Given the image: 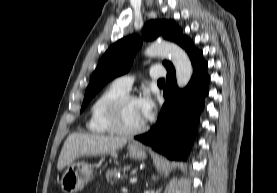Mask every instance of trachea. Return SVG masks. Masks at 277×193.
<instances>
[{
	"label": "trachea",
	"instance_id": "1",
	"mask_svg": "<svg viewBox=\"0 0 277 193\" xmlns=\"http://www.w3.org/2000/svg\"><path fill=\"white\" fill-rule=\"evenodd\" d=\"M158 83H165V80H164V79H160V80L158 81Z\"/></svg>",
	"mask_w": 277,
	"mask_h": 193
}]
</instances>
